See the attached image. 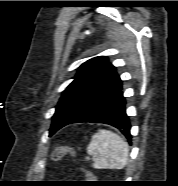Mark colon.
I'll return each mask as SVG.
<instances>
[{"label":"colon","instance_id":"colon-1","mask_svg":"<svg viewBox=\"0 0 178 186\" xmlns=\"http://www.w3.org/2000/svg\"><path fill=\"white\" fill-rule=\"evenodd\" d=\"M66 154H71L72 156L77 157V153L72 147L68 145H56L52 149L51 159L53 161H58Z\"/></svg>","mask_w":178,"mask_h":186}]
</instances>
